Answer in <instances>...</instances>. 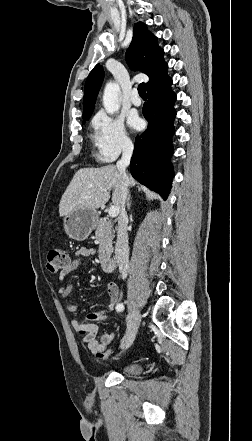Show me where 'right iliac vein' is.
<instances>
[{
	"mask_svg": "<svg viewBox=\"0 0 252 441\" xmlns=\"http://www.w3.org/2000/svg\"><path fill=\"white\" fill-rule=\"evenodd\" d=\"M140 321H141L140 314L138 313L137 310L134 309L128 320L127 332L125 337V346H124L125 349L129 348L132 345L135 336L137 334Z\"/></svg>",
	"mask_w": 252,
	"mask_h": 441,
	"instance_id": "right-iliac-vein-1",
	"label": "right iliac vein"
}]
</instances>
